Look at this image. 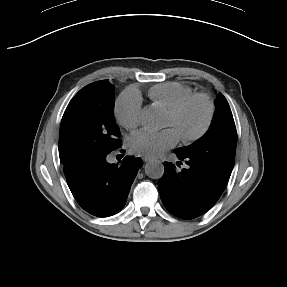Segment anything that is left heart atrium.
<instances>
[{
	"label": "left heart atrium",
	"mask_w": 287,
	"mask_h": 287,
	"mask_svg": "<svg viewBox=\"0 0 287 287\" xmlns=\"http://www.w3.org/2000/svg\"><path fill=\"white\" fill-rule=\"evenodd\" d=\"M178 140L179 135L173 128L160 132L141 131L132 137L131 147L136 154L152 158L175 146Z\"/></svg>",
	"instance_id": "39dd6f15"
}]
</instances>
